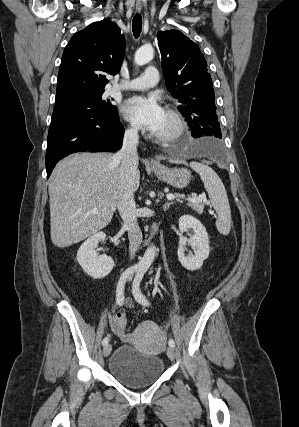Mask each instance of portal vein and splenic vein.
<instances>
[{
	"mask_svg": "<svg viewBox=\"0 0 299 427\" xmlns=\"http://www.w3.org/2000/svg\"><path fill=\"white\" fill-rule=\"evenodd\" d=\"M167 199L168 200H173V199H175V196L173 195V194H167ZM202 199H203V197L202 196H199V197H191V198H188V200L189 201H192V202H200V201H202Z\"/></svg>",
	"mask_w": 299,
	"mask_h": 427,
	"instance_id": "18ae733b",
	"label": "portal vein and splenic vein"
}]
</instances>
